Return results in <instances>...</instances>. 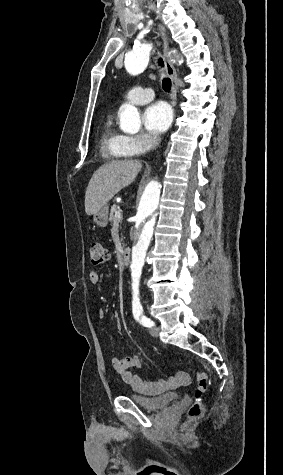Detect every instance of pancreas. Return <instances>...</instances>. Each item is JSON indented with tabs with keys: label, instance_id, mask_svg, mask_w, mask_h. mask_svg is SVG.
Segmentation results:
<instances>
[{
	"label": "pancreas",
	"instance_id": "cf45deb5",
	"mask_svg": "<svg viewBox=\"0 0 283 475\" xmlns=\"http://www.w3.org/2000/svg\"><path fill=\"white\" fill-rule=\"evenodd\" d=\"M115 212H118L117 206H113L111 214H115ZM115 220H121V218H116V216H111L110 222H115Z\"/></svg>",
	"mask_w": 283,
	"mask_h": 475
}]
</instances>
